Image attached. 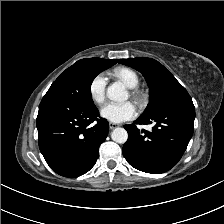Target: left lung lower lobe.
<instances>
[{
    "label": "left lung lower lobe",
    "mask_w": 224,
    "mask_h": 224,
    "mask_svg": "<svg viewBox=\"0 0 224 224\" xmlns=\"http://www.w3.org/2000/svg\"><path fill=\"white\" fill-rule=\"evenodd\" d=\"M193 102L167 107L160 113L140 116L135 124L155 123L152 131L139 130L135 124L125 125L128 140L123 155L134 168L153 174L164 173L178 163L194 131Z\"/></svg>",
    "instance_id": "1"
}]
</instances>
